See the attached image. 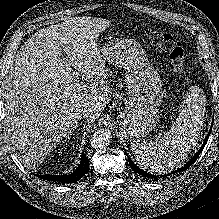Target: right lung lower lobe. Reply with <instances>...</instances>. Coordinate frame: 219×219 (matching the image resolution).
Wrapping results in <instances>:
<instances>
[{"label": "right lung lower lobe", "mask_w": 219, "mask_h": 219, "mask_svg": "<svg viewBox=\"0 0 219 219\" xmlns=\"http://www.w3.org/2000/svg\"><path fill=\"white\" fill-rule=\"evenodd\" d=\"M89 168V161L84 152L82 153L81 156V161L78 166V168L71 174L69 175H36L39 178L43 180H48V181H57L60 183H75L78 180H80L88 171Z\"/></svg>", "instance_id": "1"}]
</instances>
